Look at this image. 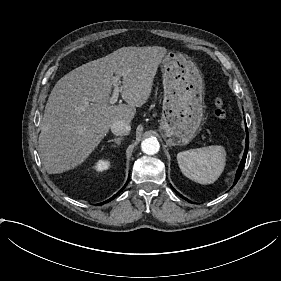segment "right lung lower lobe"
I'll return each mask as SVG.
<instances>
[{
  "instance_id": "98d812e1",
  "label": "right lung lower lobe",
  "mask_w": 281,
  "mask_h": 281,
  "mask_svg": "<svg viewBox=\"0 0 281 281\" xmlns=\"http://www.w3.org/2000/svg\"><path fill=\"white\" fill-rule=\"evenodd\" d=\"M127 183H128V181H127ZM127 183H126V184L124 185V187H123L118 193H116L112 198H110L109 200H107V201H105V202H103V203H100V204H98V205H102V204H104V203H107V202L113 200V199H114L116 196H118V195L120 194V192L126 187Z\"/></svg>"
}]
</instances>
